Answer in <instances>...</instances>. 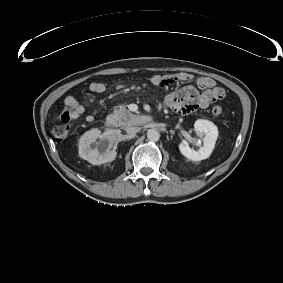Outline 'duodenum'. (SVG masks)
<instances>
[{
    "label": "duodenum",
    "mask_w": 283,
    "mask_h": 283,
    "mask_svg": "<svg viewBox=\"0 0 283 283\" xmlns=\"http://www.w3.org/2000/svg\"><path fill=\"white\" fill-rule=\"evenodd\" d=\"M106 124L108 127H114L116 124V119L112 115H109L106 118Z\"/></svg>",
    "instance_id": "duodenum-1"
}]
</instances>
